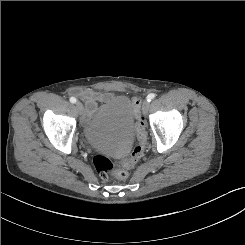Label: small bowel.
I'll use <instances>...</instances> for the list:
<instances>
[{"mask_svg":"<svg viewBox=\"0 0 245 245\" xmlns=\"http://www.w3.org/2000/svg\"><path fill=\"white\" fill-rule=\"evenodd\" d=\"M83 97L86 103V117L90 118L96 113L99 103L107 102L113 96L110 93L86 91L83 93Z\"/></svg>","mask_w":245,"mask_h":245,"instance_id":"small-bowel-1","label":"small bowel"}]
</instances>
